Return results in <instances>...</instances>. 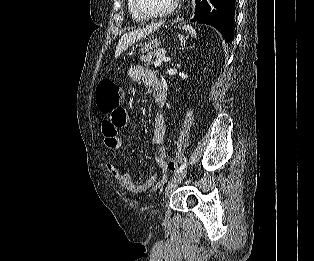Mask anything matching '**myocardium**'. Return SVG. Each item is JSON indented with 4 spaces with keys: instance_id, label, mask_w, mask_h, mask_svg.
I'll return each instance as SVG.
<instances>
[{
    "instance_id": "obj_1",
    "label": "myocardium",
    "mask_w": 314,
    "mask_h": 261,
    "mask_svg": "<svg viewBox=\"0 0 314 261\" xmlns=\"http://www.w3.org/2000/svg\"><path fill=\"white\" fill-rule=\"evenodd\" d=\"M180 0H173L170 6L162 11L150 12L143 9L139 0H134V7L137 12L144 18H161L170 15L178 6Z\"/></svg>"
}]
</instances>
